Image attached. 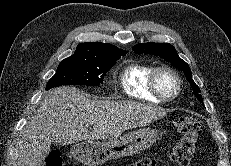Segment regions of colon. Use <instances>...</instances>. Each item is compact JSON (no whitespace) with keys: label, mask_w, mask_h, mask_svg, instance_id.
<instances>
[{"label":"colon","mask_w":231,"mask_h":166,"mask_svg":"<svg viewBox=\"0 0 231 166\" xmlns=\"http://www.w3.org/2000/svg\"><path fill=\"white\" fill-rule=\"evenodd\" d=\"M174 126L179 138L171 151L170 158L178 166H188L196 151L201 124L194 116L176 115L174 117ZM155 165L154 159L144 157L131 162L127 166ZM45 166H66L61 151L52 150L46 158Z\"/></svg>","instance_id":"1"}]
</instances>
